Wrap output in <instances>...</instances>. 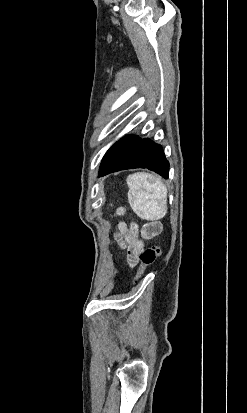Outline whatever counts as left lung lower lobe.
<instances>
[{
  "instance_id": "left-lung-lower-lobe-1",
  "label": "left lung lower lobe",
  "mask_w": 247,
  "mask_h": 413,
  "mask_svg": "<svg viewBox=\"0 0 247 413\" xmlns=\"http://www.w3.org/2000/svg\"><path fill=\"white\" fill-rule=\"evenodd\" d=\"M131 168H147L166 179L169 177V162L161 145L133 135L123 137L107 151L99 177Z\"/></svg>"
}]
</instances>
